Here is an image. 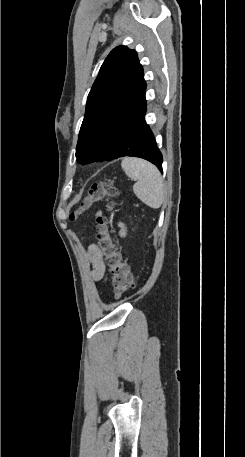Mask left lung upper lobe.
I'll use <instances>...</instances> for the list:
<instances>
[{
    "mask_svg": "<svg viewBox=\"0 0 245 457\" xmlns=\"http://www.w3.org/2000/svg\"><path fill=\"white\" fill-rule=\"evenodd\" d=\"M146 83L137 53L124 46L114 48L105 59L87 98L76 155L83 139L106 126L122 112L138 111L146 104Z\"/></svg>",
    "mask_w": 245,
    "mask_h": 457,
    "instance_id": "1",
    "label": "left lung upper lobe"
}]
</instances>
